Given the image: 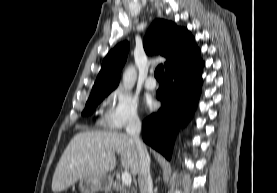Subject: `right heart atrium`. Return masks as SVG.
<instances>
[{
  "label": "right heart atrium",
  "instance_id": "1",
  "mask_svg": "<svg viewBox=\"0 0 277 193\" xmlns=\"http://www.w3.org/2000/svg\"><path fill=\"white\" fill-rule=\"evenodd\" d=\"M110 106L103 123L113 130H122L140 123V115L136 100L124 89L113 90L109 97Z\"/></svg>",
  "mask_w": 277,
  "mask_h": 193
}]
</instances>
